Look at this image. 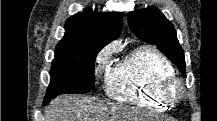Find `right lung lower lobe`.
Returning a JSON list of instances; mask_svg holds the SVG:
<instances>
[{"mask_svg":"<svg viewBox=\"0 0 217 121\" xmlns=\"http://www.w3.org/2000/svg\"><path fill=\"white\" fill-rule=\"evenodd\" d=\"M49 103V101L48 100H44V103H43V105H46V104H48Z\"/></svg>","mask_w":217,"mask_h":121,"instance_id":"obj_1","label":"right lung lower lobe"}]
</instances>
